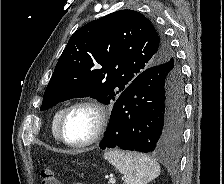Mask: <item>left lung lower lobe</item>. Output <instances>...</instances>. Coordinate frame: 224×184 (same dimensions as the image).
<instances>
[{
  "instance_id": "1",
  "label": "left lung lower lobe",
  "mask_w": 224,
  "mask_h": 184,
  "mask_svg": "<svg viewBox=\"0 0 224 184\" xmlns=\"http://www.w3.org/2000/svg\"><path fill=\"white\" fill-rule=\"evenodd\" d=\"M184 85L169 61L136 76L115 100L101 149L167 153L181 142Z\"/></svg>"
}]
</instances>
